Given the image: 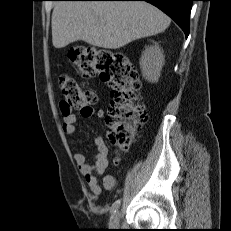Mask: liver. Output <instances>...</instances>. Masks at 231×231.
<instances>
[{
  "label": "liver",
  "mask_w": 231,
  "mask_h": 231,
  "mask_svg": "<svg viewBox=\"0 0 231 231\" xmlns=\"http://www.w3.org/2000/svg\"><path fill=\"white\" fill-rule=\"evenodd\" d=\"M170 18L140 1H60L52 12V42L63 48L77 40L119 49L128 43L164 32Z\"/></svg>",
  "instance_id": "1"
}]
</instances>
